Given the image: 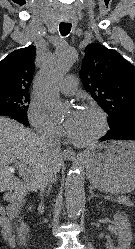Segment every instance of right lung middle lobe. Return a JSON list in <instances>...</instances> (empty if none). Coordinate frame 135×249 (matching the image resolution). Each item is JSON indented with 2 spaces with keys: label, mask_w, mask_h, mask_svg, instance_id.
Instances as JSON below:
<instances>
[{
  "label": "right lung middle lobe",
  "mask_w": 135,
  "mask_h": 249,
  "mask_svg": "<svg viewBox=\"0 0 135 249\" xmlns=\"http://www.w3.org/2000/svg\"><path fill=\"white\" fill-rule=\"evenodd\" d=\"M30 97L25 91H0V108L11 109L26 116Z\"/></svg>",
  "instance_id": "right-lung-middle-lobe-1"
}]
</instances>
